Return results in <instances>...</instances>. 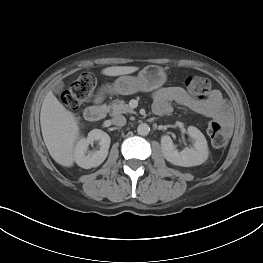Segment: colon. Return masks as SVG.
I'll list each match as a JSON object with an SVG mask.
<instances>
[{"label":"colon","instance_id":"1","mask_svg":"<svg viewBox=\"0 0 263 263\" xmlns=\"http://www.w3.org/2000/svg\"><path fill=\"white\" fill-rule=\"evenodd\" d=\"M95 85V78L91 74H82L63 92V104L70 110L78 109L92 96ZM185 85L189 94L195 98H203L211 89L209 79L197 75L189 76L185 81ZM207 133L214 147L222 148L226 145L227 136L218 121L211 120L208 122Z\"/></svg>","mask_w":263,"mask_h":263}]
</instances>
